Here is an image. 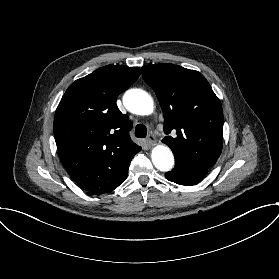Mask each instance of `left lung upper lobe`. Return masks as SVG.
<instances>
[{
	"label": "left lung upper lobe",
	"instance_id": "5c2ea615",
	"mask_svg": "<svg viewBox=\"0 0 279 279\" xmlns=\"http://www.w3.org/2000/svg\"><path fill=\"white\" fill-rule=\"evenodd\" d=\"M142 77L153 88L164 114V132L176 131L163 142L176 164L209 171L223 145V111L205 77L174 64L142 67Z\"/></svg>",
	"mask_w": 279,
	"mask_h": 279
}]
</instances>
